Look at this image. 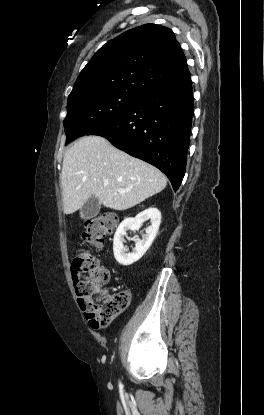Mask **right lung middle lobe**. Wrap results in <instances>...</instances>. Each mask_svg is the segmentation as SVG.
Wrapping results in <instances>:
<instances>
[{"label": "right lung middle lobe", "instance_id": "right-lung-middle-lobe-1", "mask_svg": "<svg viewBox=\"0 0 264 415\" xmlns=\"http://www.w3.org/2000/svg\"><path fill=\"white\" fill-rule=\"evenodd\" d=\"M142 97L112 91L68 99L64 119L66 144L119 117Z\"/></svg>", "mask_w": 264, "mask_h": 415}]
</instances>
